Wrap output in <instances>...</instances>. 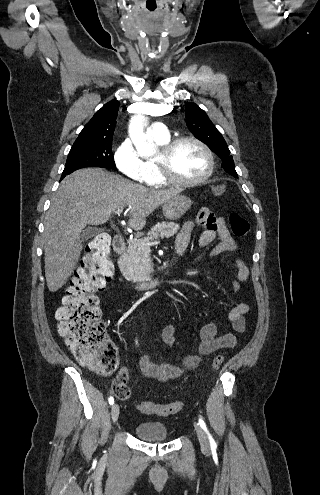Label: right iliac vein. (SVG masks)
<instances>
[{"instance_id": "obj_1", "label": "right iliac vein", "mask_w": 320, "mask_h": 495, "mask_svg": "<svg viewBox=\"0 0 320 495\" xmlns=\"http://www.w3.org/2000/svg\"><path fill=\"white\" fill-rule=\"evenodd\" d=\"M119 412H120L119 406L117 404H114L111 408V417H112L113 423L117 422V420L119 418Z\"/></svg>"}]
</instances>
